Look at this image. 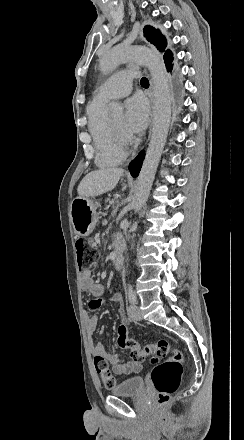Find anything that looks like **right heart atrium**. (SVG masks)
I'll list each match as a JSON object with an SVG mask.
<instances>
[{"label": "right heart atrium", "instance_id": "obj_1", "mask_svg": "<svg viewBox=\"0 0 244 440\" xmlns=\"http://www.w3.org/2000/svg\"><path fill=\"white\" fill-rule=\"evenodd\" d=\"M118 138H124L125 141H129V140H130V137H129V136H126V135H119Z\"/></svg>", "mask_w": 244, "mask_h": 440}]
</instances>
